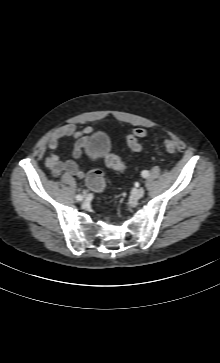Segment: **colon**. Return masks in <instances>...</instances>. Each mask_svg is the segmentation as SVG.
Listing matches in <instances>:
<instances>
[{
	"label": "colon",
	"mask_w": 220,
	"mask_h": 363,
	"mask_svg": "<svg viewBox=\"0 0 220 363\" xmlns=\"http://www.w3.org/2000/svg\"><path fill=\"white\" fill-rule=\"evenodd\" d=\"M147 130L144 128H135L133 129L130 134L127 136V144L129 148L135 152H139L142 150V145L140 143V139L147 136ZM164 148L168 152H175L177 149V143L173 139H166L164 140ZM107 165L118 171L124 172L126 170V165L124 162L114 153H109L106 157ZM86 183L88 187L96 192L103 191L105 187V179L103 172L99 169L92 170L89 175L87 176Z\"/></svg>",
	"instance_id": "1"
}]
</instances>
